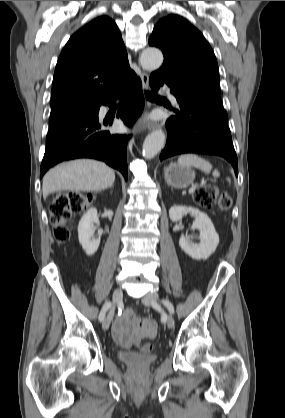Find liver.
Here are the masks:
<instances>
[{
	"mask_svg": "<svg viewBox=\"0 0 285 418\" xmlns=\"http://www.w3.org/2000/svg\"><path fill=\"white\" fill-rule=\"evenodd\" d=\"M115 181L114 171L105 163L90 159L59 164L43 177L42 191L46 198L60 191H101Z\"/></svg>",
	"mask_w": 285,
	"mask_h": 418,
	"instance_id": "obj_1",
	"label": "liver"
}]
</instances>
